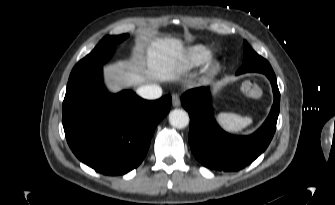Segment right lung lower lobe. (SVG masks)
Masks as SVG:
<instances>
[{
	"label": "right lung lower lobe",
	"mask_w": 335,
	"mask_h": 205,
	"mask_svg": "<svg viewBox=\"0 0 335 205\" xmlns=\"http://www.w3.org/2000/svg\"><path fill=\"white\" fill-rule=\"evenodd\" d=\"M171 96L149 101L132 91L110 94L102 66L70 79L62 107L67 142L76 157L97 172L121 175L144 159Z\"/></svg>",
	"instance_id": "obj_1"
}]
</instances>
